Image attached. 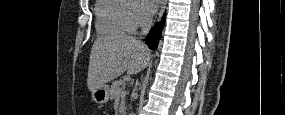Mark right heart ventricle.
<instances>
[{"mask_svg": "<svg viewBox=\"0 0 285 115\" xmlns=\"http://www.w3.org/2000/svg\"><path fill=\"white\" fill-rule=\"evenodd\" d=\"M99 35L114 37L130 32V12L118 0H101L96 6Z\"/></svg>", "mask_w": 285, "mask_h": 115, "instance_id": "right-heart-ventricle-1", "label": "right heart ventricle"}]
</instances>
